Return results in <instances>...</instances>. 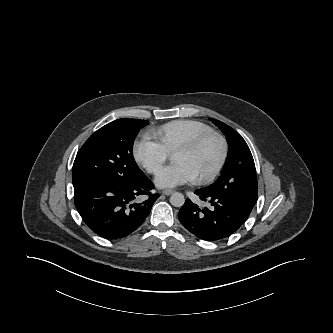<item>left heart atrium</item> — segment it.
<instances>
[{
	"label": "left heart atrium",
	"instance_id": "1",
	"mask_svg": "<svg viewBox=\"0 0 333 333\" xmlns=\"http://www.w3.org/2000/svg\"><path fill=\"white\" fill-rule=\"evenodd\" d=\"M192 173L182 164L173 161L156 178L159 187H175L194 180Z\"/></svg>",
	"mask_w": 333,
	"mask_h": 333
}]
</instances>
